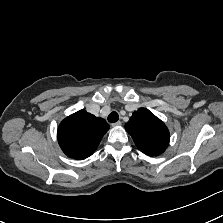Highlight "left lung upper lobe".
<instances>
[{
    "label": "left lung upper lobe",
    "instance_id": "1",
    "mask_svg": "<svg viewBox=\"0 0 223 223\" xmlns=\"http://www.w3.org/2000/svg\"><path fill=\"white\" fill-rule=\"evenodd\" d=\"M125 129L139 150L149 156H157L168 147L170 135L167 127L148 109L135 111Z\"/></svg>",
    "mask_w": 223,
    "mask_h": 223
}]
</instances>
